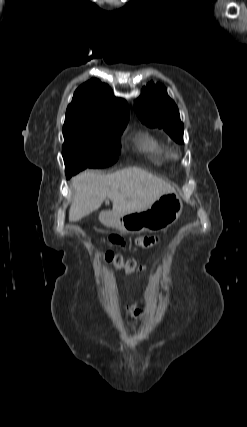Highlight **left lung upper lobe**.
Here are the masks:
<instances>
[{"label":"left lung upper lobe","mask_w":247,"mask_h":427,"mask_svg":"<svg viewBox=\"0 0 247 427\" xmlns=\"http://www.w3.org/2000/svg\"><path fill=\"white\" fill-rule=\"evenodd\" d=\"M134 106L144 124L163 128L173 140L183 143L184 125L180 121L178 108L162 84L149 83L142 89Z\"/></svg>","instance_id":"5c2ea615"}]
</instances>
